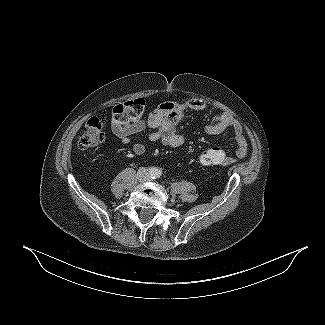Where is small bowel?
Masks as SVG:
<instances>
[{"label":"small bowel","instance_id":"c3829d8e","mask_svg":"<svg viewBox=\"0 0 325 325\" xmlns=\"http://www.w3.org/2000/svg\"><path fill=\"white\" fill-rule=\"evenodd\" d=\"M207 109L208 105L199 99L164 102L146 119L127 125L112 123L111 130L123 144H132V152L135 155H142L146 150L145 145L136 141L135 138L146 128L152 130L148 136L150 141L159 142L169 147H180L186 142V139L177 132L176 127L184 113L189 110L204 111ZM228 129H232L235 134L236 156L244 158L248 151L247 142L242 135L241 125L231 115L226 113L215 115L206 126V132L210 135H218Z\"/></svg>","mask_w":325,"mask_h":325}]
</instances>
